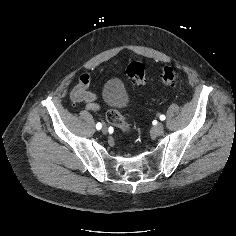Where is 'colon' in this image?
<instances>
[{
	"label": "colon",
	"instance_id": "5ec220e1",
	"mask_svg": "<svg viewBox=\"0 0 236 236\" xmlns=\"http://www.w3.org/2000/svg\"><path fill=\"white\" fill-rule=\"evenodd\" d=\"M126 75L129 79L138 85H144L147 82L146 72L144 66L139 62H132L126 68ZM162 82L169 87H174L178 83V75L176 71L170 66H164L160 73ZM106 119L109 124L129 133L131 127L122 114L116 109L108 110Z\"/></svg>",
	"mask_w": 236,
	"mask_h": 236
}]
</instances>
